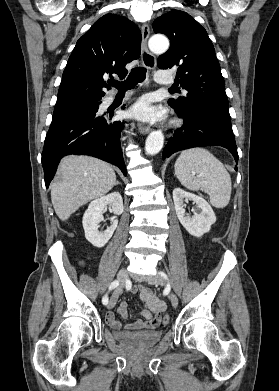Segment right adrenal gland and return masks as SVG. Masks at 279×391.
Segmentation results:
<instances>
[{
  "mask_svg": "<svg viewBox=\"0 0 279 391\" xmlns=\"http://www.w3.org/2000/svg\"><path fill=\"white\" fill-rule=\"evenodd\" d=\"M118 184H121V183L119 181H117L115 185H118Z\"/></svg>",
  "mask_w": 279,
  "mask_h": 391,
  "instance_id": "right-adrenal-gland-1",
  "label": "right adrenal gland"
}]
</instances>
